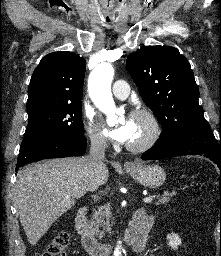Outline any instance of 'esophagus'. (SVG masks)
I'll return each mask as SVG.
<instances>
[{
	"label": "esophagus",
	"instance_id": "1",
	"mask_svg": "<svg viewBox=\"0 0 221 256\" xmlns=\"http://www.w3.org/2000/svg\"><path fill=\"white\" fill-rule=\"evenodd\" d=\"M126 165L127 166H133L134 164L132 162H127Z\"/></svg>",
	"mask_w": 221,
	"mask_h": 256
}]
</instances>
